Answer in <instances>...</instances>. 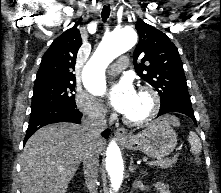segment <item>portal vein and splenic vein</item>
<instances>
[{"label":"portal vein and splenic vein","mask_w":221,"mask_h":193,"mask_svg":"<svg viewBox=\"0 0 221 193\" xmlns=\"http://www.w3.org/2000/svg\"><path fill=\"white\" fill-rule=\"evenodd\" d=\"M154 162H155V161H149V162H146V164L149 165V166H151V165L154 164ZM60 171H63V169H60Z\"/></svg>","instance_id":"18ae733b"}]
</instances>
